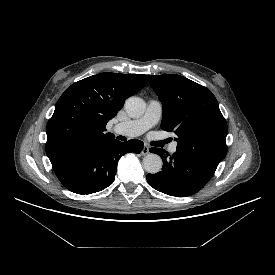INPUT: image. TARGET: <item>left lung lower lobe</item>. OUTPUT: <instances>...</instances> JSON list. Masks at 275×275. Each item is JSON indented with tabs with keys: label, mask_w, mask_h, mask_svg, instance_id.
Returning <instances> with one entry per match:
<instances>
[{
	"label": "left lung lower lobe",
	"mask_w": 275,
	"mask_h": 275,
	"mask_svg": "<svg viewBox=\"0 0 275 275\" xmlns=\"http://www.w3.org/2000/svg\"><path fill=\"white\" fill-rule=\"evenodd\" d=\"M163 160L162 171L148 174L147 181L154 189L175 197L197 193L212 178L216 169L202 161L176 151L172 156L160 148H150Z\"/></svg>",
	"instance_id": "1"
}]
</instances>
